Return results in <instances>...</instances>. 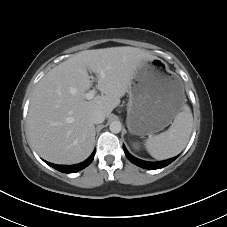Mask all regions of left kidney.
<instances>
[{"label":"left kidney","mask_w":227,"mask_h":227,"mask_svg":"<svg viewBox=\"0 0 227 227\" xmlns=\"http://www.w3.org/2000/svg\"><path fill=\"white\" fill-rule=\"evenodd\" d=\"M133 147H134L135 149H138V146H137L136 144H133Z\"/></svg>","instance_id":"1"}]
</instances>
